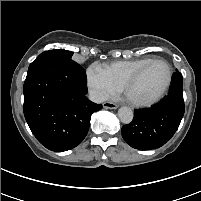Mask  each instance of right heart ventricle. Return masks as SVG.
Instances as JSON below:
<instances>
[{"instance_id": "1", "label": "right heart ventricle", "mask_w": 201, "mask_h": 201, "mask_svg": "<svg viewBox=\"0 0 201 201\" xmlns=\"http://www.w3.org/2000/svg\"><path fill=\"white\" fill-rule=\"evenodd\" d=\"M151 57H145L135 60H123L110 63L104 67L113 82L119 89H122L125 81L142 65L150 61Z\"/></svg>"}]
</instances>
